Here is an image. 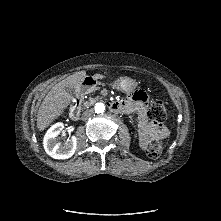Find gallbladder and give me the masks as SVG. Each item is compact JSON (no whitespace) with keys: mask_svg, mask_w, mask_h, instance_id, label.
<instances>
[{"mask_svg":"<svg viewBox=\"0 0 221 221\" xmlns=\"http://www.w3.org/2000/svg\"><path fill=\"white\" fill-rule=\"evenodd\" d=\"M66 91H67L70 95H73V89H71L70 87H66Z\"/></svg>","mask_w":221,"mask_h":221,"instance_id":"bac80fb5","label":"gallbladder"}]
</instances>
